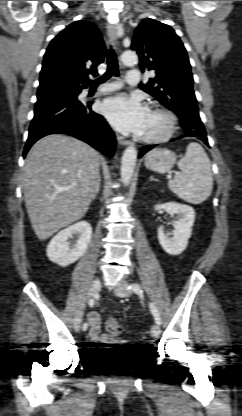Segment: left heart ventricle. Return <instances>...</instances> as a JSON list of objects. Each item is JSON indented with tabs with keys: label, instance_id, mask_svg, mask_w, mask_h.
Listing matches in <instances>:
<instances>
[{
	"label": "left heart ventricle",
	"instance_id": "obj_1",
	"mask_svg": "<svg viewBox=\"0 0 242 416\" xmlns=\"http://www.w3.org/2000/svg\"><path fill=\"white\" fill-rule=\"evenodd\" d=\"M165 125V119L162 115L149 111L142 136L158 134Z\"/></svg>",
	"mask_w": 242,
	"mask_h": 416
}]
</instances>
